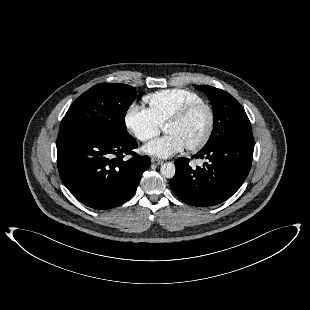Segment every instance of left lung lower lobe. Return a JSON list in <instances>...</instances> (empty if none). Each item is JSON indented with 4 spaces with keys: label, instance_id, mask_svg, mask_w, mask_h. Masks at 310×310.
Masks as SVG:
<instances>
[{
    "label": "left lung lower lobe",
    "instance_id": "obj_1",
    "mask_svg": "<svg viewBox=\"0 0 310 310\" xmlns=\"http://www.w3.org/2000/svg\"><path fill=\"white\" fill-rule=\"evenodd\" d=\"M253 150L254 140L249 133L201 149L192 158L207 159L209 162L202 168L192 169L189 159H177L170 187L187 204L200 207L219 204L230 198L248 176Z\"/></svg>",
    "mask_w": 310,
    "mask_h": 310
}]
</instances>
